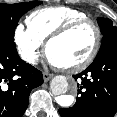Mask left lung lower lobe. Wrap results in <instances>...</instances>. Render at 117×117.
<instances>
[{
    "label": "left lung lower lobe",
    "instance_id": "left-lung-lower-lobe-1",
    "mask_svg": "<svg viewBox=\"0 0 117 117\" xmlns=\"http://www.w3.org/2000/svg\"><path fill=\"white\" fill-rule=\"evenodd\" d=\"M79 78V97L72 108L59 109L61 117H113L117 112V42L96 56ZM90 77V78H88Z\"/></svg>",
    "mask_w": 117,
    "mask_h": 117
}]
</instances>
